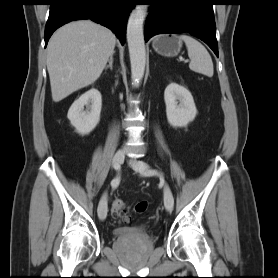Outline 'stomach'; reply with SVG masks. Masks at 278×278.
Returning a JSON list of instances; mask_svg holds the SVG:
<instances>
[{"mask_svg": "<svg viewBox=\"0 0 278 278\" xmlns=\"http://www.w3.org/2000/svg\"><path fill=\"white\" fill-rule=\"evenodd\" d=\"M152 46L158 54L167 57H174L180 52L182 41L180 37L175 34L160 35L153 40Z\"/></svg>", "mask_w": 278, "mask_h": 278, "instance_id": "1", "label": "stomach"}]
</instances>
